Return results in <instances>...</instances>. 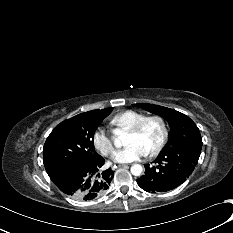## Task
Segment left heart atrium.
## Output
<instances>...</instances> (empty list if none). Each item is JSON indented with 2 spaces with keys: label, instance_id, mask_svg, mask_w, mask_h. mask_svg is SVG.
<instances>
[{
  "label": "left heart atrium",
  "instance_id": "left-heart-atrium-1",
  "mask_svg": "<svg viewBox=\"0 0 233 233\" xmlns=\"http://www.w3.org/2000/svg\"><path fill=\"white\" fill-rule=\"evenodd\" d=\"M146 151L136 143L127 145L113 155V160L118 163H130L146 156Z\"/></svg>",
  "mask_w": 233,
  "mask_h": 233
}]
</instances>
